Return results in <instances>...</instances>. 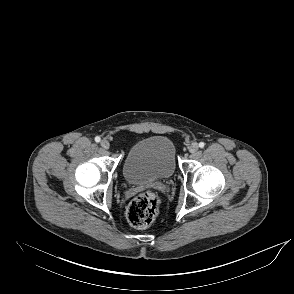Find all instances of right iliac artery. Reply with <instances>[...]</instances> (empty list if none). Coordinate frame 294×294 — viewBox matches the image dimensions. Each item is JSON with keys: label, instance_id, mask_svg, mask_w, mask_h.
Wrapping results in <instances>:
<instances>
[{"label": "right iliac artery", "instance_id": "right-iliac-artery-1", "mask_svg": "<svg viewBox=\"0 0 294 294\" xmlns=\"http://www.w3.org/2000/svg\"><path fill=\"white\" fill-rule=\"evenodd\" d=\"M100 140H101V138L99 137V136H96L95 137V141L98 143V142H100Z\"/></svg>", "mask_w": 294, "mask_h": 294}]
</instances>
